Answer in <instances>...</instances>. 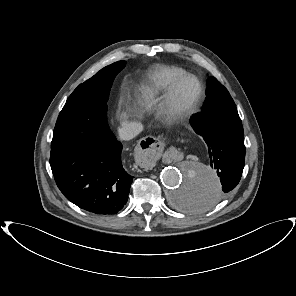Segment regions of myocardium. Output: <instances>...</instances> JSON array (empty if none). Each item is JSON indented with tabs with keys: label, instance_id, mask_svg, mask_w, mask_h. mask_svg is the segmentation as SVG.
Wrapping results in <instances>:
<instances>
[{
	"label": "myocardium",
	"instance_id": "f54148a6",
	"mask_svg": "<svg viewBox=\"0 0 296 296\" xmlns=\"http://www.w3.org/2000/svg\"><path fill=\"white\" fill-rule=\"evenodd\" d=\"M192 79L197 83L198 93L196 97L185 105L177 104L175 100V92L178 86L185 80ZM204 95V87L198 77L193 74H184L174 80L166 89L163 99V112L168 119L179 120L190 115L199 105Z\"/></svg>",
	"mask_w": 296,
	"mask_h": 296
}]
</instances>
